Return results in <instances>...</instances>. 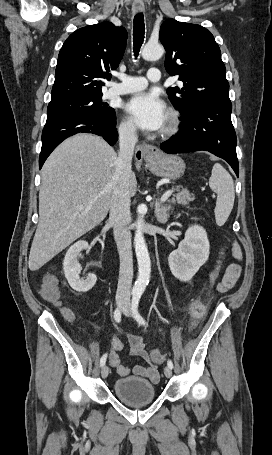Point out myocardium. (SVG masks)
<instances>
[{"instance_id":"myocardium-1","label":"myocardium","mask_w":272,"mask_h":455,"mask_svg":"<svg viewBox=\"0 0 272 455\" xmlns=\"http://www.w3.org/2000/svg\"><path fill=\"white\" fill-rule=\"evenodd\" d=\"M180 119L176 111L170 110L167 115L166 125L163 128L162 135L164 137L173 136L179 129Z\"/></svg>"}]
</instances>
